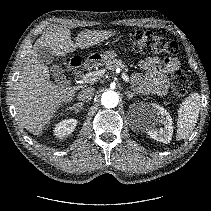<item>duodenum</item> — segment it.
I'll return each mask as SVG.
<instances>
[{
  "mask_svg": "<svg viewBox=\"0 0 211 211\" xmlns=\"http://www.w3.org/2000/svg\"><path fill=\"white\" fill-rule=\"evenodd\" d=\"M99 61V58H89L88 60H86L83 64V69L85 70H89L91 68H93L97 62ZM82 68L79 66L78 69H73V71L76 73V74H79L81 72Z\"/></svg>",
  "mask_w": 211,
  "mask_h": 211,
  "instance_id": "obj_1",
  "label": "duodenum"
}]
</instances>
